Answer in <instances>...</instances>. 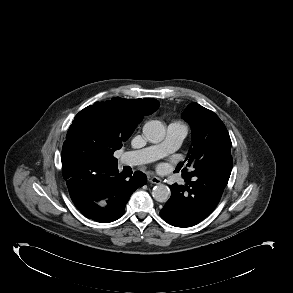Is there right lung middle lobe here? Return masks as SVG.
<instances>
[{
  "mask_svg": "<svg viewBox=\"0 0 293 293\" xmlns=\"http://www.w3.org/2000/svg\"><path fill=\"white\" fill-rule=\"evenodd\" d=\"M114 150L109 149H96L89 152L86 156L83 157V160L86 164H93L96 162H103L107 159V155L112 156L114 162L117 164V159L113 157Z\"/></svg>",
  "mask_w": 293,
  "mask_h": 293,
  "instance_id": "obj_1",
  "label": "right lung middle lobe"
}]
</instances>
